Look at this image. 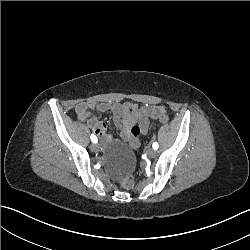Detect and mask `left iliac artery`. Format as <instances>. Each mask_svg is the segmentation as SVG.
<instances>
[{"instance_id":"1","label":"left iliac artery","mask_w":250,"mask_h":250,"mask_svg":"<svg viewBox=\"0 0 250 250\" xmlns=\"http://www.w3.org/2000/svg\"><path fill=\"white\" fill-rule=\"evenodd\" d=\"M152 147H153L154 150H157L159 148V145H158L157 142H154Z\"/></svg>"}]
</instances>
